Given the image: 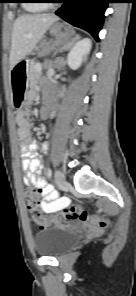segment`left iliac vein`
I'll return each mask as SVG.
<instances>
[{
    "mask_svg": "<svg viewBox=\"0 0 136 296\" xmlns=\"http://www.w3.org/2000/svg\"><path fill=\"white\" fill-rule=\"evenodd\" d=\"M54 177H55L56 185L58 186L59 189H62L66 182L64 174L60 170H56Z\"/></svg>",
    "mask_w": 136,
    "mask_h": 296,
    "instance_id": "4c4485c4",
    "label": "left iliac vein"
}]
</instances>
